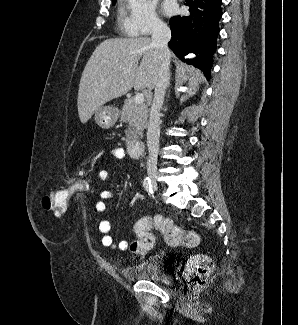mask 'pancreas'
<instances>
[{"label": "pancreas", "instance_id": "obj_1", "mask_svg": "<svg viewBox=\"0 0 298 325\" xmlns=\"http://www.w3.org/2000/svg\"><path fill=\"white\" fill-rule=\"evenodd\" d=\"M148 112V104H145V102L136 104L133 96L124 100L122 112H120V120L128 122L125 130L126 144H130V142H134V140L143 136L142 130L147 126Z\"/></svg>", "mask_w": 298, "mask_h": 325}]
</instances>
